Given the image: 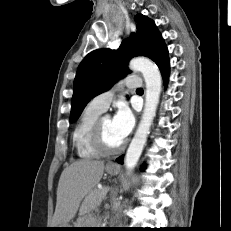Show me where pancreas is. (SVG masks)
I'll list each match as a JSON object with an SVG mask.
<instances>
[{
    "instance_id": "obj_1",
    "label": "pancreas",
    "mask_w": 231,
    "mask_h": 231,
    "mask_svg": "<svg viewBox=\"0 0 231 231\" xmlns=\"http://www.w3.org/2000/svg\"><path fill=\"white\" fill-rule=\"evenodd\" d=\"M106 198V192L104 189H94L86 197V205L88 207H95L101 204V202ZM86 224L87 221H86Z\"/></svg>"
}]
</instances>
